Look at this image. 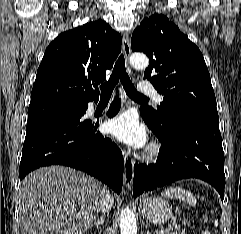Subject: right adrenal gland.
<instances>
[{"mask_svg":"<svg viewBox=\"0 0 241 234\" xmlns=\"http://www.w3.org/2000/svg\"><path fill=\"white\" fill-rule=\"evenodd\" d=\"M104 224V216L102 215L100 218L95 219L94 223H91L88 229H91L92 227L96 226L97 229H99L100 226Z\"/></svg>","mask_w":241,"mask_h":234,"instance_id":"obj_1","label":"right adrenal gland"}]
</instances>
